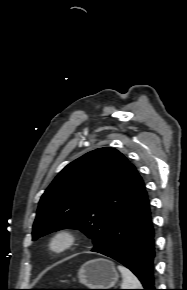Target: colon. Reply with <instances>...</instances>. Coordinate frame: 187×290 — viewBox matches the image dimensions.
I'll return each instance as SVG.
<instances>
[{"label": "colon", "instance_id": "5ec220e1", "mask_svg": "<svg viewBox=\"0 0 187 290\" xmlns=\"http://www.w3.org/2000/svg\"><path fill=\"white\" fill-rule=\"evenodd\" d=\"M37 290H80V289H37Z\"/></svg>", "mask_w": 187, "mask_h": 290}]
</instances>
